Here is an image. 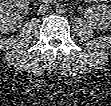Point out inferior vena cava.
I'll return each instance as SVG.
<instances>
[{
	"mask_svg": "<svg viewBox=\"0 0 111 106\" xmlns=\"http://www.w3.org/2000/svg\"><path fill=\"white\" fill-rule=\"evenodd\" d=\"M51 10V7L48 5V4H41L40 7H39V14H46L48 12H50Z\"/></svg>",
	"mask_w": 111,
	"mask_h": 106,
	"instance_id": "1",
	"label": "inferior vena cava"
}]
</instances>
